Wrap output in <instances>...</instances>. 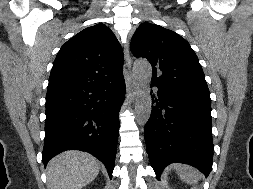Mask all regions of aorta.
<instances>
[{
	"mask_svg": "<svg viewBox=\"0 0 253 189\" xmlns=\"http://www.w3.org/2000/svg\"><path fill=\"white\" fill-rule=\"evenodd\" d=\"M133 72L139 87L135 104L136 121L143 126L149 120L152 108L149 89L152 67L147 60H136L133 65Z\"/></svg>",
	"mask_w": 253,
	"mask_h": 189,
	"instance_id": "1",
	"label": "aorta"
}]
</instances>
